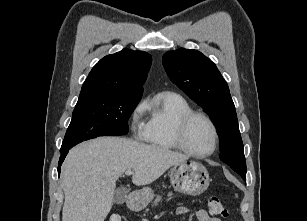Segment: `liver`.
Instances as JSON below:
<instances>
[{
    "mask_svg": "<svg viewBox=\"0 0 307 221\" xmlns=\"http://www.w3.org/2000/svg\"><path fill=\"white\" fill-rule=\"evenodd\" d=\"M188 159L167 148L128 138L99 137L72 148L62 165V221H104L113 205L116 180L133 170L132 182L151 184Z\"/></svg>",
    "mask_w": 307,
    "mask_h": 221,
    "instance_id": "obj_1",
    "label": "liver"
}]
</instances>
